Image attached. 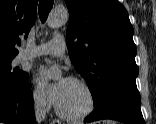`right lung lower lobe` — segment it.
<instances>
[{
    "label": "right lung lower lobe",
    "mask_w": 156,
    "mask_h": 124,
    "mask_svg": "<svg viewBox=\"0 0 156 124\" xmlns=\"http://www.w3.org/2000/svg\"><path fill=\"white\" fill-rule=\"evenodd\" d=\"M0 122L35 124L29 79L14 82L0 75Z\"/></svg>",
    "instance_id": "1"
}]
</instances>
